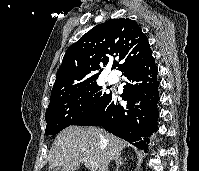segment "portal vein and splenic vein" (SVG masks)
<instances>
[{"label":"portal vein and splenic vein","instance_id":"portal-vein-and-splenic-vein-1","mask_svg":"<svg viewBox=\"0 0 199 171\" xmlns=\"http://www.w3.org/2000/svg\"><path fill=\"white\" fill-rule=\"evenodd\" d=\"M84 164L90 171H97L98 169V164L95 162H85Z\"/></svg>","mask_w":199,"mask_h":171}]
</instances>
